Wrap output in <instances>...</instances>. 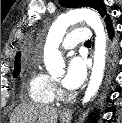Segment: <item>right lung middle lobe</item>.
<instances>
[{"instance_id": "right-lung-middle-lobe-1", "label": "right lung middle lobe", "mask_w": 122, "mask_h": 123, "mask_svg": "<svg viewBox=\"0 0 122 123\" xmlns=\"http://www.w3.org/2000/svg\"><path fill=\"white\" fill-rule=\"evenodd\" d=\"M20 73V66L14 68L13 76L17 77Z\"/></svg>"}]
</instances>
